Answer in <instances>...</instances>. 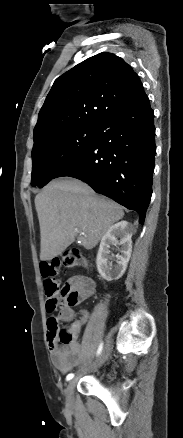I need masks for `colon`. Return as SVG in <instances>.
<instances>
[{
    "label": "colon",
    "instance_id": "obj_1",
    "mask_svg": "<svg viewBox=\"0 0 183 438\" xmlns=\"http://www.w3.org/2000/svg\"><path fill=\"white\" fill-rule=\"evenodd\" d=\"M78 266L89 267L90 260L76 249L66 250L58 258L41 262L40 271L46 295L45 308L48 313H55L64 302H68L71 305L78 303V294L66 284L59 288L57 280L62 267L73 268ZM48 328L50 332L56 334L60 341L64 343L71 342L76 336V331L72 327L59 330L56 317H51L48 320Z\"/></svg>",
    "mask_w": 183,
    "mask_h": 438
}]
</instances>
